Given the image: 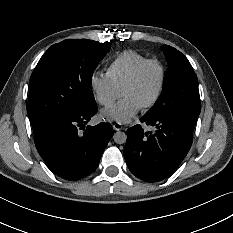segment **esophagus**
Segmentation results:
<instances>
[{"instance_id": "34e87169", "label": "esophagus", "mask_w": 233, "mask_h": 233, "mask_svg": "<svg viewBox=\"0 0 233 233\" xmlns=\"http://www.w3.org/2000/svg\"><path fill=\"white\" fill-rule=\"evenodd\" d=\"M113 128H114V130H116V131H120V130L123 129V126H122V124H120V123H114V124H113Z\"/></svg>"}]
</instances>
